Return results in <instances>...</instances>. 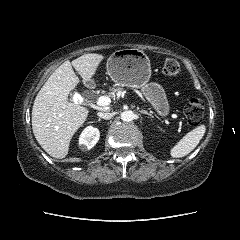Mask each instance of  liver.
Segmentation results:
<instances>
[{
  "label": "liver",
  "instance_id": "6515ba94",
  "mask_svg": "<svg viewBox=\"0 0 240 240\" xmlns=\"http://www.w3.org/2000/svg\"><path fill=\"white\" fill-rule=\"evenodd\" d=\"M103 59L101 54L89 53L72 62L65 61L38 92L32 109V129L37 142L50 156L57 159L67 156L73 135L89 114L86 107L68 101L70 91L80 82L72 66L87 82Z\"/></svg>",
  "mask_w": 240,
  "mask_h": 240
}]
</instances>
